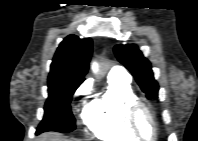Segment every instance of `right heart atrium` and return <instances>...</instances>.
<instances>
[{
    "mask_svg": "<svg viewBox=\"0 0 198 141\" xmlns=\"http://www.w3.org/2000/svg\"><path fill=\"white\" fill-rule=\"evenodd\" d=\"M90 88V84L88 82H85L76 90L75 95L78 97H84L88 95Z\"/></svg>",
    "mask_w": 198,
    "mask_h": 141,
    "instance_id": "obj_1",
    "label": "right heart atrium"
}]
</instances>
